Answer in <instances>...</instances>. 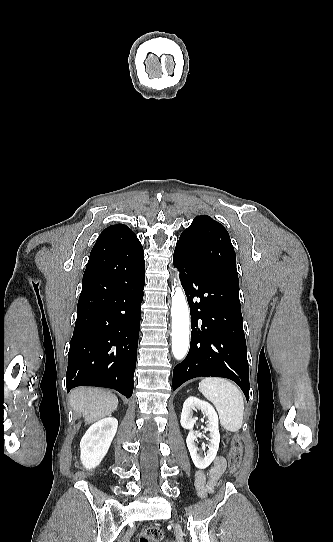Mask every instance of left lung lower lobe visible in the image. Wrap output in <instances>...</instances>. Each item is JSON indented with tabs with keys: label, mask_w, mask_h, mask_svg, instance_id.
<instances>
[{
	"label": "left lung lower lobe",
	"mask_w": 333,
	"mask_h": 542,
	"mask_svg": "<svg viewBox=\"0 0 333 542\" xmlns=\"http://www.w3.org/2000/svg\"><path fill=\"white\" fill-rule=\"evenodd\" d=\"M191 312V344L187 357L173 371V390L201 376L236 382L249 399V367L239 300V280L194 265L175 248Z\"/></svg>",
	"instance_id": "1"
}]
</instances>
